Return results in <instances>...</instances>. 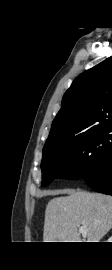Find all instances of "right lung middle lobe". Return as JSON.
Wrapping results in <instances>:
<instances>
[{
    "instance_id": "obj_1",
    "label": "right lung middle lobe",
    "mask_w": 112,
    "mask_h": 270,
    "mask_svg": "<svg viewBox=\"0 0 112 270\" xmlns=\"http://www.w3.org/2000/svg\"><path fill=\"white\" fill-rule=\"evenodd\" d=\"M112 147V125H106L57 146L43 149L42 186L55 178H83L96 170Z\"/></svg>"
}]
</instances>
